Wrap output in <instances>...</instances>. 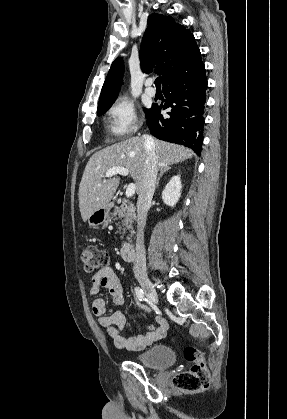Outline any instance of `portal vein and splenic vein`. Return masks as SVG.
Returning <instances> with one entry per match:
<instances>
[{
	"mask_svg": "<svg viewBox=\"0 0 287 419\" xmlns=\"http://www.w3.org/2000/svg\"><path fill=\"white\" fill-rule=\"evenodd\" d=\"M116 174L127 176L129 174V171L124 167H114V168L109 169L105 173V177L109 178ZM135 190H136V185L134 183L129 184L125 192L126 197L127 198L132 197L135 194Z\"/></svg>",
	"mask_w": 287,
	"mask_h": 419,
	"instance_id": "portal-vein-and-splenic-vein-1",
	"label": "portal vein and splenic vein"
}]
</instances>
